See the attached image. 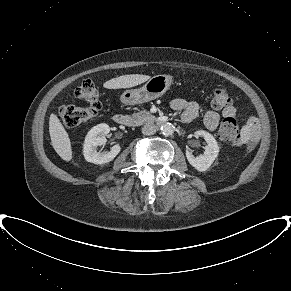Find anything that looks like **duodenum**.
<instances>
[{
	"label": "duodenum",
	"mask_w": 291,
	"mask_h": 291,
	"mask_svg": "<svg viewBox=\"0 0 291 291\" xmlns=\"http://www.w3.org/2000/svg\"><path fill=\"white\" fill-rule=\"evenodd\" d=\"M114 121L119 124V125H123V126H129L131 124V118L126 115V114H116L114 116ZM162 123H164L163 120H157L156 124L157 125H161Z\"/></svg>",
	"instance_id": "1"
}]
</instances>
